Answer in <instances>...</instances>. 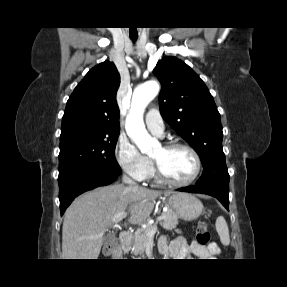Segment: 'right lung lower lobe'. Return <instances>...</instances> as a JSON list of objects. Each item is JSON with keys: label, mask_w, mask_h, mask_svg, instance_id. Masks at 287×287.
Returning <instances> with one entry per match:
<instances>
[{"label": "right lung lower lobe", "mask_w": 287, "mask_h": 287, "mask_svg": "<svg viewBox=\"0 0 287 287\" xmlns=\"http://www.w3.org/2000/svg\"><path fill=\"white\" fill-rule=\"evenodd\" d=\"M120 174L96 169L81 168L59 175L60 211L63 214L66 208L78 195L98 186L114 182Z\"/></svg>", "instance_id": "obj_1"}]
</instances>
